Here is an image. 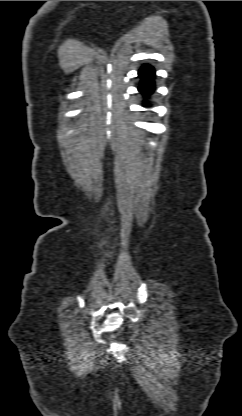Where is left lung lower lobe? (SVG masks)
Listing matches in <instances>:
<instances>
[{
	"label": "left lung lower lobe",
	"mask_w": 242,
	"mask_h": 416,
	"mask_svg": "<svg viewBox=\"0 0 242 416\" xmlns=\"http://www.w3.org/2000/svg\"><path fill=\"white\" fill-rule=\"evenodd\" d=\"M139 77L141 78L140 86L138 87L139 92L147 98L155 90V70L152 66L145 64L141 67L138 72ZM143 106H146L144 102Z\"/></svg>",
	"instance_id": "0a47b994"
}]
</instances>
